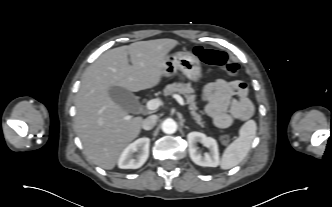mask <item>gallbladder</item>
<instances>
[{
    "instance_id": "1",
    "label": "gallbladder",
    "mask_w": 332,
    "mask_h": 207,
    "mask_svg": "<svg viewBox=\"0 0 332 207\" xmlns=\"http://www.w3.org/2000/svg\"><path fill=\"white\" fill-rule=\"evenodd\" d=\"M109 95L116 104H118L120 107L127 111L133 112L137 109V97L130 91L122 87L112 86L109 89Z\"/></svg>"
}]
</instances>
